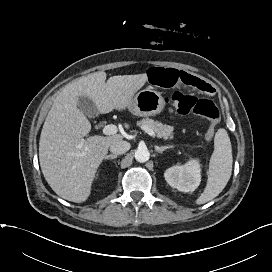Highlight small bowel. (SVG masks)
<instances>
[{
    "label": "small bowel",
    "instance_id": "obj_1",
    "mask_svg": "<svg viewBox=\"0 0 272 272\" xmlns=\"http://www.w3.org/2000/svg\"><path fill=\"white\" fill-rule=\"evenodd\" d=\"M148 80L162 88H173L178 86L190 87L201 92H211L213 87L185 71L173 68L154 67L148 70Z\"/></svg>",
    "mask_w": 272,
    "mask_h": 272
}]
</instances>
